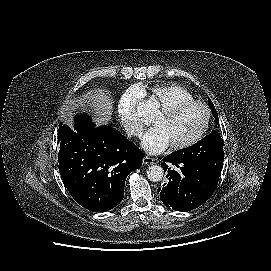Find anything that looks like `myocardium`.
Returning a JSON list of instances; mask_svg holds the SVG:
<instances>
[{"instance_id":"f54148a6","label":"myocardium","mask_w":271,"mask_h":271,"mask_svg":"<svg viewBox=\"0 0 271 271\" xmlns=\"http://www.w3.org/2000/svg\"><path fill=\"white\" fill-rule=\"evenodd\" d=\"M189 107H200V108L204 109V111L206 113L205 123L202 126V128L200 129V131L194 137L189 139L188 141L181 143V144H177V145H170V148L173 151L185 150V149L192 147L196 143H198L205 136V134L207 133V131L210 127V123H211V119H212V112L207 104L200 102V101H194V100L175 103V104H172V105H169V106H166V107L159 109V114L164 115V116H173V115H176L177 113H179Z\"/></svg>"}]
</instances>
